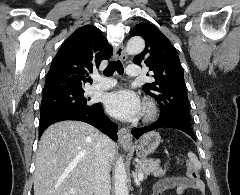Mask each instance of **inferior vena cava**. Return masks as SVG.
Here are the masks:
<instances>
[{
  "label": "inferior vena cava",
  "instance_id": "obj_1",
  "mask_svg": "<svg viewBox=\"0 0 240 195\" xmlns=\"http://www.w3.org/2000/svg\"><path fill=\"white\" fill-rule=\"evenodd\" d=\"M112 139L103 135L96 145L97 171L95 173L94 195H110V161L108 159V145Z\"/></svg>",
  "mask_w": 240,
  "mask_h": 195
}]
</instances>
